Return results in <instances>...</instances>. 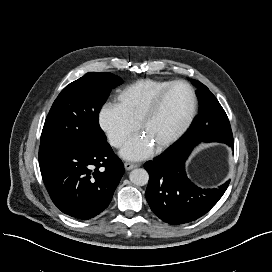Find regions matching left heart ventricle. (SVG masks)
Listing matches in <instances>:
<instances>
[{"label": "left heart ventricle", "mask_w": 272, "mask_h": 272, "mask_svg": "<svg viewBox=\"0 0 272 272\" xmlns=\"http://www.w3.org/2000/svg\"><path fill=\"white\" fill-rule=\"evenodd\" d=\"M190 108V96L184 86L174 87L156 114L147 122L142 134L157 146L183 123Z\"/></svg>", "instance_id": "b2bd125f"}]
</instances>
